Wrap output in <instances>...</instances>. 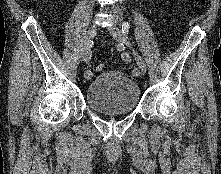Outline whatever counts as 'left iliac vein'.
Wrapping results in <instances>:
<instances>
[{
	"label": "left iliac vein",
	"mask_w": 221,
	"mask_h": 174,
	"mask_svg": "<svg viewBox=\"0 0 221 174\" xmlns=\"http://www.w3.org/2000/svg\"><path fill=\"white\" fill-rule=\"evenodd\" d=\"M110 34L120 43L127 46L132 50V53L134 55V58L136 60V63L139 67L140 72L145 73L146 72V64L143 60V58L137 53V51L132 47V44L130 42V39L128 36L123 33L119 28L116 26H111L108 28Z\"/></svg>",
	"instance_id": "obj_1"
}]
</instances>
